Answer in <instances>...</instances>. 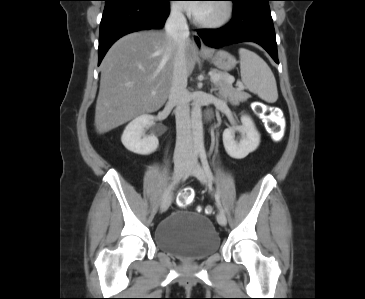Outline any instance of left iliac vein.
I'll use <instances>...</instances> for the list:
<instances>
[{"mask_svg":"<svg viewBox=\"0 0 365 299\" xmlns=\"http://www.w3.org/2000/svg\"><path fill=\"white\" fill-rule=\"evenodd\" d=\"M187 173H190L191 175L195 176L202 184L209 183L208 176H207L205 170L203 169V167L199 163H196L194 165H192V163H189L187 165ZM217 222L221 226L226 225L227 219H226V216L224 213L219 212L217 214Z\"/></svg>","mask_w":365,"mask_h":299,"instance_id":"1","label":"left iliac vein"}]
</instances>
